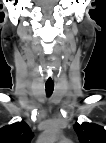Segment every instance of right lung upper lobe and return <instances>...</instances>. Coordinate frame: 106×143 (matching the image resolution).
<instances>
[{
	"instance_id": "right-lung-upper-lobe-1",
	"label": "right lung upper lobe",
	"mask_w": 106,
	"mask_h": 143,
	"mask_svg": "<svg viewBox=\"0 0 106 143\" xmlns=\"http://www.w3.org/2000/svg\"><path fill=\"white\" fill-rule=\"evenodd\" d=\"M30 127L24 122H16L0 129V143H30Z\"/></svg>"
}]
</instances>
